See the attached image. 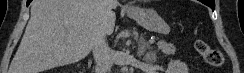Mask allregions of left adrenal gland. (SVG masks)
Returning <instances> with one entry per match:
<instances>
[{
  "label": "left adrenal gland",
  "instance_id": "1",
  "mask_svg": "<svg viewBox=\"0 0 244 73\" xmlns=\"http://www.w3.org/2000/svg\"><path fill=\"white\" fill-rule=\"evenodd\" d=\"M147 49H151L150 45L145 41L143 37H140L138 42V57H142Z\"/></svg>",
  "mask_w": 244,
  "mask_h": 73
}]
</instances>
